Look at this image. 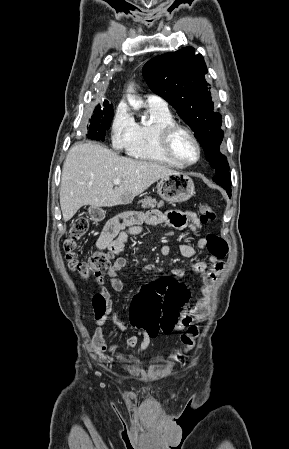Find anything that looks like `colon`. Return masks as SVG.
Returning <instances> with one entry per match:
<instances>
[{
	"instance_id": "obj_1",
	"label": "colon",
	"mask_w": 289,
	"mask_h": 449,
	"mask_svg": "<svg viewBox=\"0 0 289 449\" xmlns=\"http://www.w3.org/2000/svg\"><path fill=\"white\" fill-rule=\"evenodd\" d=\"M200 219L203 223L215 219V212L208 204L200 205ZM89 227L87 216L78 217L73 221L63 242L65 258L70 270L83 278L91 275H99L112 266L114 253L111 251H95L88 260H80L76 249L78 241L83 237ZM209 253L223 259L228 253L227 242L215 233L206 237ZM189 297L188 289L177 280L159 281L153 287L146 290L144 296H136L128 303L131 310L130 319L134 327L144 330L151 338L159 333L168 335L173 332L181 321V313ZM97 315H100L105 307V301L100 295L93 300ZM199 335L197 326H189L186 333L181 336L183 349L179 358L185 356L195 346Z\"/></svg>"
}]
</instances>
